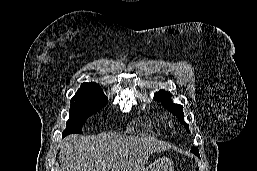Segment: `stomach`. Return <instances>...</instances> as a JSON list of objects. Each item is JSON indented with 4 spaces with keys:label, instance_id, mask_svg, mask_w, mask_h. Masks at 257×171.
Wrapping results in <instances>:
<instances>
[{
    "label": "stomach",
    "instance_id": "stomach-1",
    "mask_svg": "<svg viewBox=\"0 0 257 171\" xmlns=\"http://www.w3.org/2000/svg\"><path fill=\"white\" fill-rule=\"evenodd\" d=\"M146 171H173L172 161L166 157L159 158L150 164Z\"/></svg>",
    "mask_w": 257,
    "mask_h": 171
}]
</instances>
